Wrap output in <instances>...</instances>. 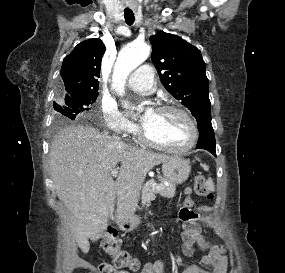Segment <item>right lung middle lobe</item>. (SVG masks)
<instances>
[{
	"mask_svg": "<svg viewBox=\"0 0 285 273\" xmlns=\"http://www.w3.org/2000/svg\"><path fill=\"white\" fill-rule=\"evenodd\" d=\"M97 97L98 92L72 95L61 94L58 100L59 104H54V109L58 112L56 120L62 121L65 118L74 120L79 113L91 109L90 106Z\"/></svg>",
	"mask_w": 285,
	"mask_h": 273,
	"instance_id": "dd1d6c3e",
	"label": "right lung middle lobe"
}]
</instances>
